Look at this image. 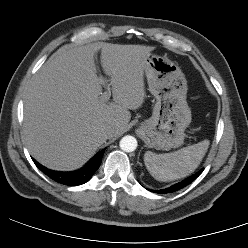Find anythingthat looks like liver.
I'll return each mask as SVG.
<instances>
[{
    "instance_id": "liver-1",
    "label": "liver",
    "mask_w": 248,
    "mask_h": 248,
    "mask_svg": "<svg viewBox=\"0 0 248 248\" xmlns=\"http://www.w3.org/2000/svg\"><path fill=\"white\" fill-rule=\"evenodd\" d=\"M154 49L104 42L58 49L25 95L23 135L31 155L50 169L71 171L106 143L105 128H115L113 137L123 134L129 109L144 103V71ZM99 50L108 79L97 75L94 56ZM103 85L111 88L114 102L103 99Z\"/></svg>"
}]
</instances>
